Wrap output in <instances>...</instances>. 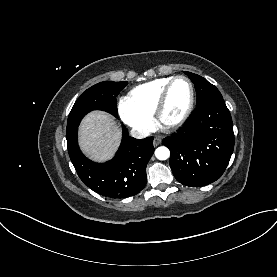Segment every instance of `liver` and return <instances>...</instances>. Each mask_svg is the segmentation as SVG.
Instances as JSON below:
<instances>
[{"instance_id":"1","label":"liver","mask_w":277,"mask_h":277,"mask_svg":"<svg viewBox=\"0 0 277 277\" xmlns=\"http://www.w3.org/2000/svg\"><path fill=\"white\" fill-rule=\"evenodd\" d=\"M121 140V131L107 113H89L79 128V144L92 160L104 162L113 157Z\"/></svg>"}]
</instances>
